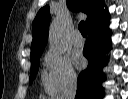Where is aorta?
I'll use <instances>...</instances> for the list:
<instances>
[{
  "mask_svg": "<svg viewBox=\"0 0 128 99\" xmlns=\"http://www.w3.org/2000/svg\"><path fill=\"white\" fill-rule=\"evenodd\" d=\"M49 43L52 49L59 52H64L67 48L62 22L58 18L50 26Z\"/></svg>",
  "mask_w": 128,
  "mask_h": 99,
  "instance_id": "1",
  "label": "aorta"
}]
</instances>
